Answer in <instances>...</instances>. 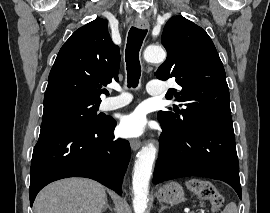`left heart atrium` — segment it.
<instances>
[{"instance_id": "39dd6f15", "label": "left heart atrium", "mask_w": 270, "mask_h": 213, "mask_svg": "<svg viewBox=\"0 0 270 213\" xmlns=\"http://www.w3.org/2000/svg\"><path fill=\"white\" fill-rule=\"evenodd\" d=\"M146 119L140 110L124 116L119 125L120 134L126 138H137L144 134Z\"/></svg>"}]
</instances>
